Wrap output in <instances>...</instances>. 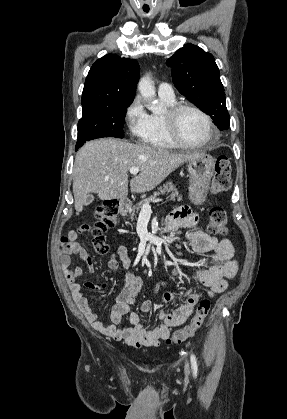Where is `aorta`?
<instances>
[{
    "label": "aorta",
    "instance_id": "762f6f07",
    "mask_svg": "<svg viewBox=\"0 0 287 419\" xmlns=\"http://www.w3.org/2000/svg\"><path fill=\"white\" fill-rule=\"evenodd\" d=\"M138 89L144 99L148 101L154 99L155 87L149 74H146L140 79L138 83ZM150 109L153 113H158L160 112L161 107L158 104L153 103Z\"/></svg>",
    "mask_w": 287,
    "mask_h": 419
}]
</instances>
